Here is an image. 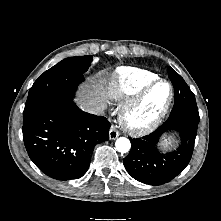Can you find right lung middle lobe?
<instances>
[{
    "label": "right lung middle lobe",
    "mask_w": 221,
    "mask_h": 221,
    "mask_svg": "<svg viewBox=\"0 0 221 221\" xmlns=\"http://www.w3.org/2000/svg\"><path fill=\"white\" fill-rule=\"evenodd\" d=\"M91 61V56L70 57L45 71L29 91L23 123L55 103L72 99Z\"/></svg>",
    "instance_id": "dd1d6c3e"
}]
</instances>
